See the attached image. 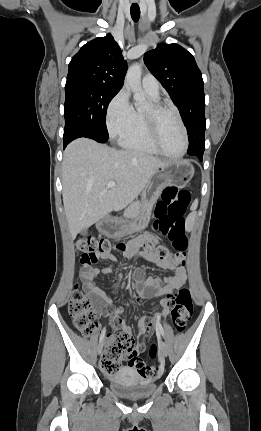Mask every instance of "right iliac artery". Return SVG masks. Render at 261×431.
Listing matches in <instances>:
<instances>
[{
    "label": "right iliac artery",
    "instance_id": "right-iliac-artery-1",
    "mask_svg": "<svg viewBox=\"0 0 261 431\" xmlns=\"http://www.w3.org/2000/svg\"><path fill=\"white\" fill-rule=\"evenodd\" d=\"M105 332H106V329L104 328L103 330H102V332H101V335H100V343L103 341V339H104V336H105Z\"/></svg>",
    "mask_w": 261,
    "mask_h": 431
}]
</instances>
